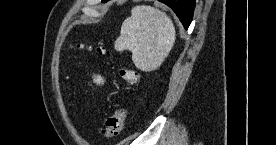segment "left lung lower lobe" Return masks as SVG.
<instances>
[{"label":"left lung lower lobe","instance_id":"0a47b994","mask_svg":"<svg viewBox=\"0 0 276 145\" xmlns=\"http://www.w3.org/2000/svg\"><path fill=\"white\" fill-rule=\"evenodd\" d=\"M106 2L108 0H102ZM168 5L179 17L185 29H188L194 12L195 0H159Z\"/></svg>","mask_w":276,"mask_h":145}]
</instances>
